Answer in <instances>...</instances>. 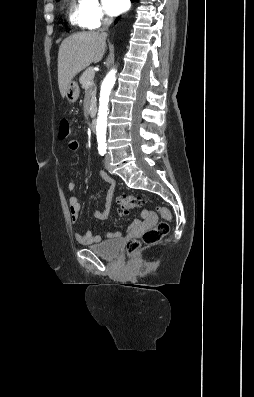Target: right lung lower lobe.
Returning <instances> with one entry per match:
<instances>
[{
	"label": "right lung lower lobe",
	"mask_w": 254,
	"mask_h": 397,
	"mask_svg": "<svg viewBox=\"0 0 254 397\" xmlns=\"http://www.w3.org/2000/svg\"><path fill=\"white\" fill-rule=\"evenodd\" d=\"M131 1H139V0H131ZM120 19V16L119 17H117V19H116V21H115V23L118 21Z\"/></svg>",
	"instance_id": "obj_1"
}]
</instances>
